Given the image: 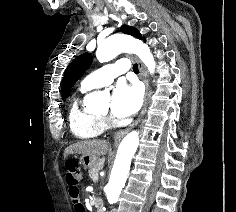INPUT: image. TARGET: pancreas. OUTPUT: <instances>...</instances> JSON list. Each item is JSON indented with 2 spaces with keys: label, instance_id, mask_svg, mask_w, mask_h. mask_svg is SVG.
<instances>
[{
  "label": "pancreas",
  "instance_id": "pancreas-1",
  "mask_svg": "<svg viewBox=\"0 0 236 212\" xmlns=\"http://www.w3.org/2000/svg\"><path fill=\"white\" fill-rule=\"evenodd\" d=\"M101 168H102V165L98 162L93 168L89 170V176L92 179V181L94 182L97 181L98 173Z\"/></svg>",
  "mask_w": 236,
  "mask_h": 212
}]
</instances>
